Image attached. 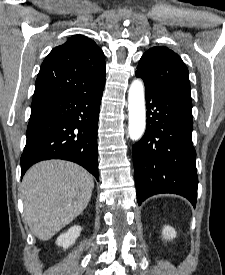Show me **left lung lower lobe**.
I'll list each match as a JSON object with an SVG mask.
<instances>
[{
  "mask_svg": "<svg viewBox=\"0 0 225 275\" xmlns=\"http://www.w3.org/2000/svg\"><path fill=\"white\" fill-rule=\"evenodd\" d=\"M144 83L148 122L132 150L138 204L155 194L174 193L195 207L198 177L192 104Z\"/></svg>",
  "mask_w": 225,
  "mask_h": 275,
  "instance_id": "left-lung-lower-lobe-1",
  "label": "left lung lower lobe"
}]
</instances>
